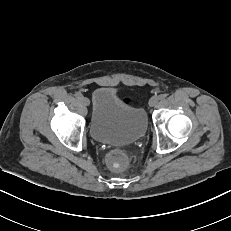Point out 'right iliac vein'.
Returning <instances> with one entry per match:
<instances>
[{"label": "right iliac vein", "mask_w": 231, "mask_h": 231, "mask_svg": "<svg viewBox=\"0 0 231 231\" xmlns=\"http://www.w3.org/2000/svg\"><path fill=\"white\" fill-rule=\"evenodd\" d=\"M82 103L86 106L90 105V100L87 97L82 98Z\"/></svg>", "instance_id": "obj_1"}]
</instances>
